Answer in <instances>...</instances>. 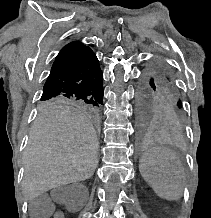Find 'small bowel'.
Instances as JSON below:
<instances>
[{
    "label": "small bowel",
    "instance_id": "small-bowel-1",
    "mask_svg": "<svg viewBox=\"0 0 211 218\" xmlns=\"http://www.w3.org/2000/svg\"><path fill=\"white\" fill-rule=\"evenodd\" d=\"M58 218H61L62 217V214L61 213H57L56 215Z\"/></svg>",
    "mask_w": 211,
    "mask_h": 218
}]
</instances>
